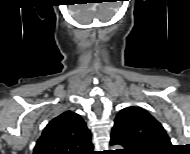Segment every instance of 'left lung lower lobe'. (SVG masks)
Returning <instances> with one entry per match:
<instances>
[{"label":"left lung lower lobe","instance_id":"obj_1","mask_svg":"<svg viewBox=\"0 0 190 154\" xmlns=\"http://www.w3.org/2000/svg\"><path fill=\"white\" fill-rule=\"evenodd\" d=\"M110 143L113 145H115V144L122 145L125 148L122 150V152L124 154H138L137 151L134 149V147L131 145V143L126 141L123 138V136L120 133H118L117 131H113L111 133Z\"/></svg>","mask_w":190,"mask_h":154}]
</instances>
